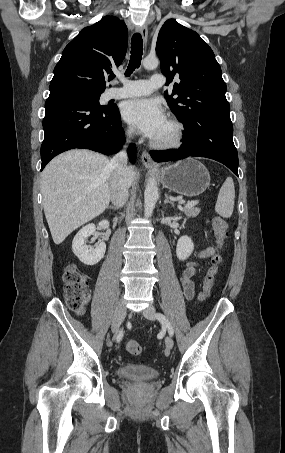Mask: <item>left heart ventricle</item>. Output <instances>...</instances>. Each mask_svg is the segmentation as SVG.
Returning a JSON list of instances; mask_svg holds the SVG:
<instances>
[{
	"label": "left heart ventricle",
	"instance_id": "1",
	"mask_svg": "<svg viewBox=\"0 0 285 453\" xmlns=\"http://www.w3.org/2000/svg\"><path fill=\"white\" fill-rule=\"evenodd\" d=\"M173 132L172 126L166 121L165 125L163 126L159 135L155 138V140H165L168 139Z\"/></svg>",
	"mask_w": 285,
	"mask_h": 453
}]
</instances>
